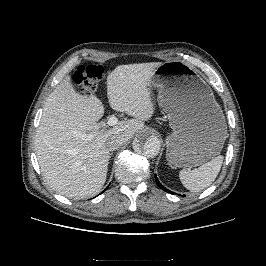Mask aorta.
Listing matches in <instances>:
<instances>
[{
  "instance_id": "obj_1",
  "label": "aorta",
  "mask_w": 266,
  "mask_h": 266,
  "mask_svg": "<svg viewBox=\"0 0 266 266\" xmlns=\"http://www.w3.org/2000/svg\"><path fill=\"white\" fill-rule=\"evenodd\" d=\"M161 143L159 138L149 131H144L139 135L134 143V149L141 150L147 158L156 157L160 151Z\"/></svg>"
}]
</instances>
